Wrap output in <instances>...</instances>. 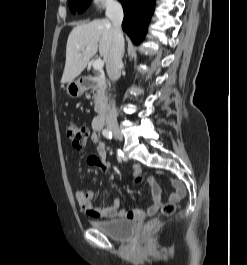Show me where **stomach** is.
<instances>
[{"instance_id":"1","label":"stomach","mask_w":247,"mask_h":265,"mask_svg":"<svg viewBox=\"0 0 247 265\" xmlns=\"http://www.w3.org/2000/svg\"><path fill=\"white\" fill-rule=\"evenodd\" d=\"M66 90L70 97L78 98L86 91V86L82 80L78 79L76 81L69 82Z\"/></svg>"}]
</instances>
